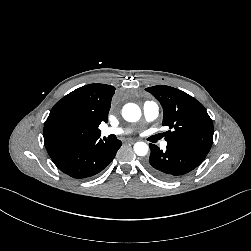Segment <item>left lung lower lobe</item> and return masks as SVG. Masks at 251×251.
I'll list each match as a JSON object with an SVG mask.
<instances>
[{"label": "left lung lower lobe", "mask_w": 251, "mask_h": 251, "mask_svg": "<svg viewBox=\"0 0 251 251\" xmlns=\"http://www.w3.org/2000/svg\"><path fill=\"white\" fill-rule=\"evenodd\" d=\"M151 154L146 162L147 170L155 177L173 181L196 168L208 153L187 145L167 144L166 151L149 144Z\"/></svg>", "instance_id": "left-lung-lower-lobe-1"}]
</instances>
